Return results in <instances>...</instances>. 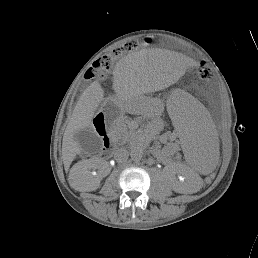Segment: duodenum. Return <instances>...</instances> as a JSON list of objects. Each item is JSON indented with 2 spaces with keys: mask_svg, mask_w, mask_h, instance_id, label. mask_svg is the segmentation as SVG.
Wrapping results in <instances>:
<instances>
[{
  "mask_svg": "<svg viewBox=\"0 0 258 258\" xmlns=\"http://www.w3.org/2000/svg\"><path fill=\"white\" fill-rule=\"evenodd\" d=\"M103 127H104V126L101 125V126H100V129L104 130ZM103 138H104L106 147H108V143H109V141H110V137H109V135H108L106 132H103Z\"/></svg>",
  "mask_w": 258,
  "mask_h": 258,
  "instance_id": "1",
  "label": "duodenum"
}]
</instances>
